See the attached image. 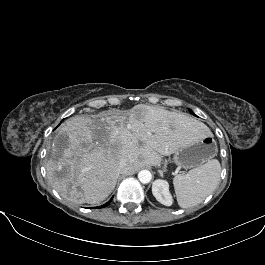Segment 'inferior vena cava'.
<instances>
[{
  "instance_id": "1",
  "label": "inferior vena cava",
  "mask_w": 265,
  "mask_h": 265,
  "mask_svg": "<svg viewBox=\"0 0 265 265\" xmlns=\"http://www.w3.org/2000/svg\"><path fill=\"white\" fill-rule=\"evenodd\" d=\"M126 167H127V163H126V161H121V162L119 163V172H120V173H125V171H126Z\"/></svg>"
}]
</instances>
